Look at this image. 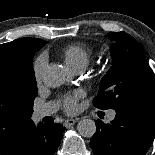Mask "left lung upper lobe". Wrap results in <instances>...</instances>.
Instances as JSON below:
<instances>
[{
    "instance_id": "obj_1",
    "label": "left lung upper lobe",
    "mask_w": 155,
    "mask_h": 155,
    "mask_svg": "<svg viewBox=\"0 0 155 155\" xmlns=\"http://www.w3.org/2000/svg\"><path fill=\"white\" fill-rule=\"evenodd\" d=\"M112 67L100 83L93 103L115 111L138 102L155 101V75L140 44L125 32H110Z\"/></svg>"
}]
</instances>
